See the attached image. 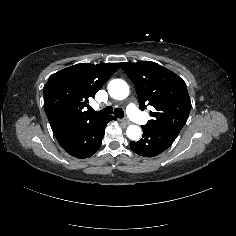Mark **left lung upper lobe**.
Instances as JSON below:
<instances>
[{"label": "left lung upper lobe", "mask_w": 236, "mask_h": 236, "mask_svg": "<svg viewBox=\"0 0 236 236\" xmlns=\"http://www.w3.org/2000/svg\"><path fill=\"white\" fill-rule=\"evenodd\" d=\"M121 68L134 83L139 108L147 105L153 119L146 124L154 129L180 132L191 110V101L182 78L167 68L151 62L121 63Z\"/></svg>", "instance_id": "5c2ea615"}]
</instances>
